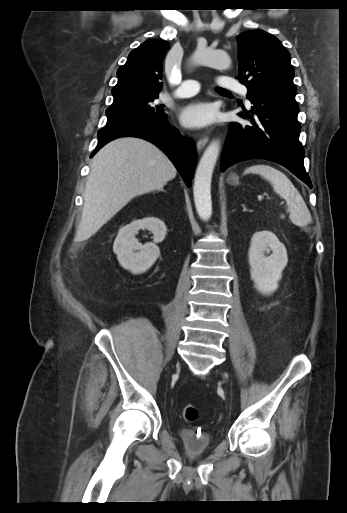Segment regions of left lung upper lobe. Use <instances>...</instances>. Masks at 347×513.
Returning <instances> with one entry per match:
<instances>
[{"label":"left lung upper lobe","instance_id":"5c2ea615","mask_svg":"<svg viewBox=\"0 0 347 513\" xmlns=\"http://www.w3.org/2000/svg\"><path fill=\"white\" fill-rule=\"evenodd\" d=\"M238 79L248 92L296 94L290 55L281 42L263 30L237 36Z\"/></svg>","mask_w":347,"mask_h":513}]
</instances>
